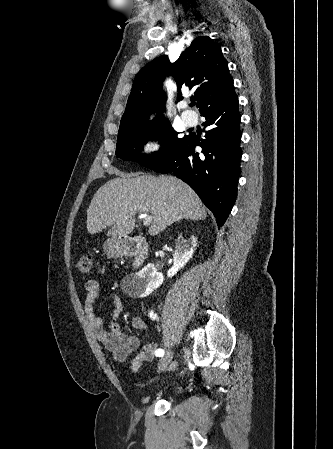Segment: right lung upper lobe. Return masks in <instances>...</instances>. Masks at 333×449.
I'll return each mask as SVG.
<instances>
[{
    "label": "right lung upper lobe",
    "instance_id": "obj_1",
    "mask_svg": "<svg viewBox=\"0 0 333 449\" xmlns=\"http://www.w3.org/2000/svg\"><path fill=\"white\" fill-rule=\"evenodd\" d=\"M166 74L172 75L177 82L178 99L186 87L195 91L199 111L217 97L234 90L220 45L208 36H199L175 63H170L168 56L162 55L137 73L120 123L123 130L145 129L166 121L161 117L157 121L146 122L148 114L159 107V112H162V82ZM122 137L124 134L118 133L117 140Z\"/></svg>",
    "mask_w": 333,
    "mask_h": 449
}]
</instances>
